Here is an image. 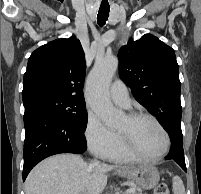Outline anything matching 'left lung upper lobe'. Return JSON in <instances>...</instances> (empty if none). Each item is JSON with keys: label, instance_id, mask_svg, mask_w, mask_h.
I'll use <instances>...</instances> for the list:
<instances>
[{"label": "left lung upper lobe", "instance_id": "5c2ea615", "mask_svg": "<svg viewBox=\"0 0 201 194\" xmlns=\"http://www.w3.org/2000/svg\"><path fill=\"white\" fill-rule=\"evenodd\" d=\"M119 75L166 130L181 122V83L174 50L151 34L120 48Z\"/></svg>", "mask_w": 201, "mask_h": 194}]
</instances>
